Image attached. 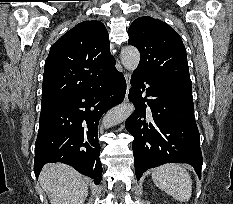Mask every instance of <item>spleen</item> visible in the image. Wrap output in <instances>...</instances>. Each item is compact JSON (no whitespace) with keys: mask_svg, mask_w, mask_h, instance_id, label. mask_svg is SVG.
I'll return each instance as SVG.
<instances>
[{"mask_svg":"<svg viewBox=\"0 0 233 204\" xmlns=\"http://www.w3.org/2000/svg\"><path fill=\"white\" fill-rule=\"evenodd\" d=\"M155 185L180 202L189 201L192 194V179L188 171L175 163L162 165L152 172Z\"/></svg>","mask_w":233,"mask_h":204,"instance_id":"obj_1","label":"spleen"}]
</instances>
